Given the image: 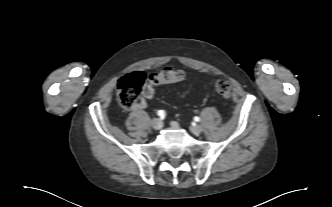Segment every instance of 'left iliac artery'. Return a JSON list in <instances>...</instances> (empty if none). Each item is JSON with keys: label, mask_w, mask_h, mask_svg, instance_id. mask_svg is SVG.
Listing matches in <instances>:
<instances>
[{"label": "left iliac artery", "mask_w": 332, "mask_h": 207, "mask_svg": "<svg viewBox=\"0 0 332 207\" xmlns=\"http://www.w3.org/2000/svg\"><path fill=\"white\" fill-rule=\"evenodd\" d=\"M194 120L196 121V122H199L200 121V118L199 117H194Z\"/></svg>", "instance_id": "1"}]
</instances>
